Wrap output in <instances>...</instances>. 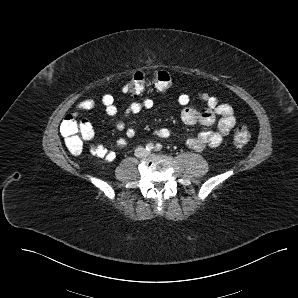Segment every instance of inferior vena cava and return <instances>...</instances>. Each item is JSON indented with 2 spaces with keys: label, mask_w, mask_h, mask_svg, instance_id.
<instances>
[{
  "label": "inferior vena cava",
  "mask_w": 298,
  "mask_h": 298,
  "mask_svg": "<svg viewBox=\"0 0 298 298\" xmlns=\"http://www.w3.org/2000/svg\"><path fill=\"white\" fill-rule=\"evenodd\" d=\"M135 156L138 158H143L149 155L148 150L144 146H138L134 152Z\"/></svg>",
  "instance_id": "602c4592"
}]
</instances>
